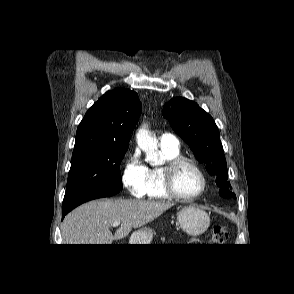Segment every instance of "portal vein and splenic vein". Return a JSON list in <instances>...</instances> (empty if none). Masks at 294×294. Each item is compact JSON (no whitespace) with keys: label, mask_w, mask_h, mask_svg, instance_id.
<instances>
[{"label":"portal vein and splenic vein","mask_w":294,"mask_h":294,"mask_svg":"<svg viewBox=\"0 0 294 294\" xmlns=\"http://www.w3.org/2000/svg\"><path fill=\"white\" fill-rule=\"evenodd\" d=\"M120 225V222H114V223H112V227H117V226H119Z\"/></svg>","instance_id":"obj_1"}]
</instances>
